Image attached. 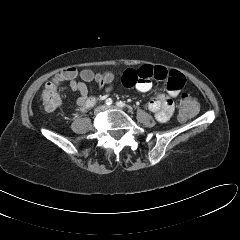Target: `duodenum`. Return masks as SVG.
Segmentation results:
<instances>
[{
    "label": "duodenum",
    "instance_id": "1",
    "mask_svg": "<svg viewBox=\"0 0 240 240\" xmlns=\"http://www.w3.org/2000/svg\"><path fill=\"white\" fill-rule=\"evenodd\" d=\"M94 103H95V100L93 99V100H91L90 101V103H89V105H88V107H91V106H93L94 105Z\"/></svg>",
    "mask_w": 240,
    "mask_h": 240
}]
</instances>
